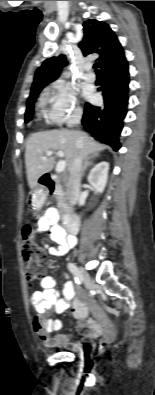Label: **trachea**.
Segmentation results:
<instances>
[{"instance_id":"3493384b","label":"trachea","mask_w":155,"mask_h":395,"mask_svg":"<svg viewBox=\"0 0 155 395\" xmlns=\"http://www.w3.org/2000/svg\"><path fill=\"white\" fill-rule=\"evenodd\" d=\"M93 68L95 69V71H96L97 73L100 72V71L97 69V68H98V63H95L94 66H93Z\"/></svg>"}]
</instances>
